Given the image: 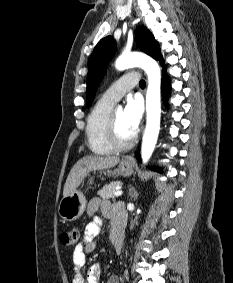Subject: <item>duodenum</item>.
<instances>
[{
    "instance_id": "obj_1",
    "label": "duodenum",
    "mask_w": 233,
    "mask_h": 283,
    "mask_svg": "<svg viewBox=\"0 0 233 283\" xmlns=\"http://www.w3.org/2000/svg\"><path fill=\"white\" fill-rule=\"evenodd\" d=\"M111 241L114 246L115 252L117 254H120L124 241V224L122 222L118 223L115 226L111 236Z\"/></svg>"
}]
</instances>
